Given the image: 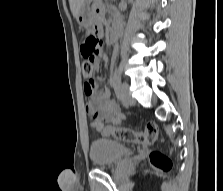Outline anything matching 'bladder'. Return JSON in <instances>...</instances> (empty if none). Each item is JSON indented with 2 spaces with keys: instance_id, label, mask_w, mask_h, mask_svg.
I'll list each match as a JSON object with an SVG mask.
<instances>
[{
  "instance_id": "bladder-1",
  "label": "bladder",
  "mask_w": 223,
  "mask_h": 191,
  "mask_svg": "<svg viewBox=\"0 0 223 191\" xmlns=\"http://www.w3.org/2000/svg\"><path fill=\"white\" fill-rule=\"evenodd\" d=\"M127 152L128 147L123 142L108 138L95 139L89 147L91 163L98 168L119 162Z\"/></svg>"
}]
</instances>
